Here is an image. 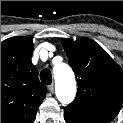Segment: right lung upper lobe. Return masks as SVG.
<instances>
[{
	"mask_svg": "<svg viewBox=\"0 0 123 123\" xmlns=\"http://www.w3.org/2000/svg\"><path fill=\"white\" fill-rule=\"evenodd\" d=\"M33 47L20 36L1 42V123H33L46 96L31 62Z\"/></svg>",
	"mask_w": 123,
	"mask_h": 123,
	"instance_id": "right-lung-upper-lobe-1",
	"label": "right lung upper lobe"
}]
</instances>
